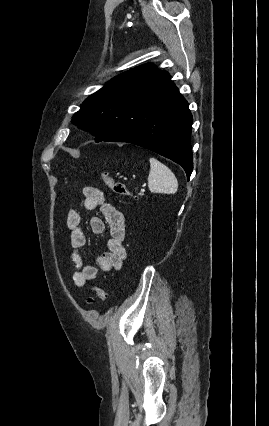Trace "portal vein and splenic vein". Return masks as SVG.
Wrapping results in <instances>:
<instances>
[{"mask_svg":"<svg viewBox=\"0 0 269 426\" xmlns=\"http://www.w3.org/2000/svg\"><path fill=\"white\" fill-rule=\"evenodd\" d=\"M145 191V189L141 188V193H143Z\"/></svg>","mask_w":269,"mask_h":426,"instance_id":"portal-vein-and-splenic-vein-1","label":"portal vein and splenic vein"}]
</instances>
